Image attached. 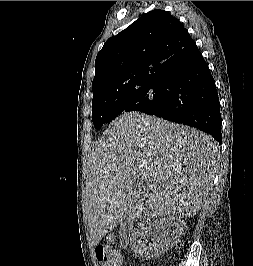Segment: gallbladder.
Listing matches in <instances>:
<instances>
[{"label": "gallbladder", "instance_id": "obj_1", "mask_svg": "<svg viewBox=\"0 0 253 266\" xmlns=\"http://www.w3.org/2000/svg\"><path fill=\"white\" fill-rule=\"evenodd\" d=\"M129 226H130V224H128V223H124V224H122L121 227H120V232H121L123 229H125L126 227H129Z\"/></svg>", "mask_w": 253, "mask_h": 266}]
</instances>
